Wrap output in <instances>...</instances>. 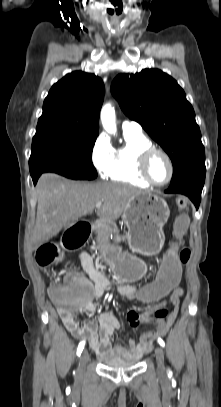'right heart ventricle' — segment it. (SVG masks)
Segmentation results:
<instances>
[{
	"mask_svg": "<svg viewBox=\"0 0 221 407\" xmlns=\"http://www.w3.org/2000/svg\"><path fill=\"white\" fill-rule=\"evenodd\" d=\"M123 134L125 142L114 150L109 178L138 187H148L150 184L138 172V158L142 152L153 147V144L142 132Z\"/></svg>",
	"mask_w": 221,
	"mask_h": 407,
	"instance_id": "e07e8e85",
	"label": "right heart ventricle"
}]
</instances>
